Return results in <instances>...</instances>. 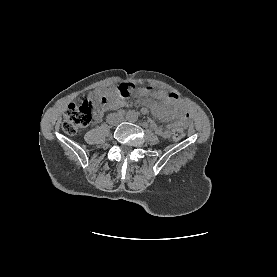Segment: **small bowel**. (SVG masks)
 I'll return each instance as SVG.
<instances>
[{"label":"small bowel","mask_w":277,"mask_h":277,"mask_svg":"<svg viewBox=\"0 0 277 277\" xmlns=\"http://www.w3.org/2000/svg\"><path fill=\"white\" fill-rule=\"evenodd\" d=\"M101 92L106 94L107 97L110 98V102L106 107L100 108L96 112V120H100L106 110L115 109L124 105V101L120 97L116 96L117 91L104 88L101 90ZM136 93L140 96H147L151 94L156 99H143L145 107H143L141 110L142 114L146 115L149 113L150 110H152L163 121H170L175 117L180 118L183 121L189 120V114L179 107L178 99L175 94L162 90L152 91L148 89H140ZM151 125L158 135L165 138L170 136V128L163 129L153 122L151 123Z\"/></svg>","instance_id":"c3829d8e"}]
</instances>
